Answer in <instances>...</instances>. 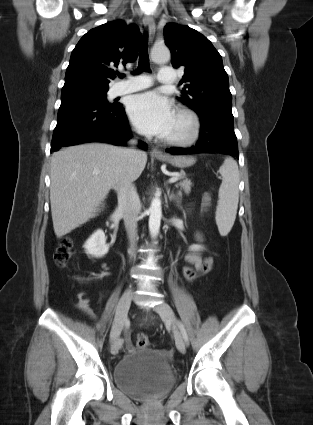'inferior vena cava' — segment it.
<instances>
[{
	"label": "inferior vena cava",
	"instance_id": "obj_1",
	"mask_svg": "<svg viewBox=\"0 0 313 425\" xmlns=\"http://www.w3.org/2000/svg\"><path fill=\"white\" fill-rule=\"evenodd\" d=\"M137 142L131 140L130 144L135 145ZM122 153L128 159H134L138 156L139 151L132 148L122 149ZM133 181L126 177L117 187L118 207L122 213L124 224L130 240L129 253L134 254V247L137 238V218L140 212V200Z\"/></svg>",
	"mask_w": 313,
	"mask_h": 425
}]
</instances>
